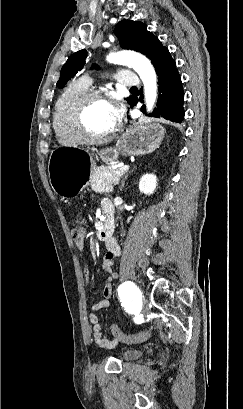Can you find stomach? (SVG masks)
Segmentation results:
<instances>
[{"label":"stomach","instance_id":"0dacf381","mask_svg":"<svg viewBox=\"0 0 243 409\" xmlns=\"http://www.w3.org/2000/svg\"><path fill=\"white\" fill-rule=\"evenodd\" d=\"M165 130L158 123L136 124L126 130L116 146L101 149L98 157L105 163L115 162L119 154L145 155L159 147ZM95 169L93 156L87 150L56 148L51 152L48 173L52 189L63 197L79 194Z\"/></svg>","mask_w":243,"mask_h":409}]
</instances>
